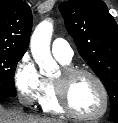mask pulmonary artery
<instances>
[{
    "instance_id": "obj_1",
    "label": "pulmonary artery",
    "mask_w": 118,
    "mask_h": 123,
    "mask_svg": "<svg viewBox=\"0 0 118 123\" xmlns=\"http://www.w3.org/2000/svg\"><path fill=\"white\" fill-rule=\"evenodd\" d=\"M53 56L62 63H69L73 57L71 46L63 39H55L51 45Z\"/></svg>"
}]
</instances>
